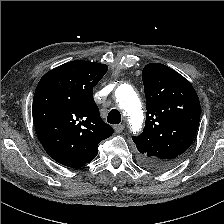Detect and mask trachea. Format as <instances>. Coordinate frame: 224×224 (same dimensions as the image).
I'll return each mask as SVG.
<instances>
[{
	"label": "trachea",
	"mask_w": 224,
	"mask_h": 224,
	"mask_svg": "<svg viewBox=\"0 0 224 224\" xmlns=\"http://www.w3.org/2000/svg\"><path fill=\"white\" fill-rule=\"evenodd\" d=\"M107 121L110 124H119L121 122V114L118 110L113 109L109 112Z\"/></svg>",
	"instance_id": "3493384b"
}]
</instances>
